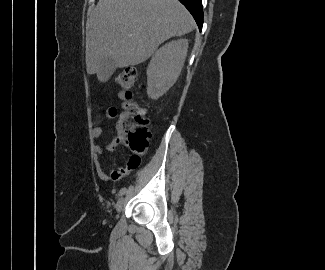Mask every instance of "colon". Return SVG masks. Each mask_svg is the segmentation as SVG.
<instances>
[{
  "label": "colon",
  "instance_id": "obj_1",
  "mask_svg": "<svg viewBox=\"0 0 325 270\" xmlns=\"http://www.w3.org/2000/svg\"><path fill=\"white\" fill-rule=\"evenodd\" d=\"M137 78L138 72L134 67L124 69L116 77V82L122 88L120 97L123 100L124 108L118 123V140L126 144L131 151L127 164L129 170L139 166L150 138L145 111L133 100L132 88Z\"/></svg>",
  "mask_w": 325,
  "mask_h": 270
}]
</instances>
